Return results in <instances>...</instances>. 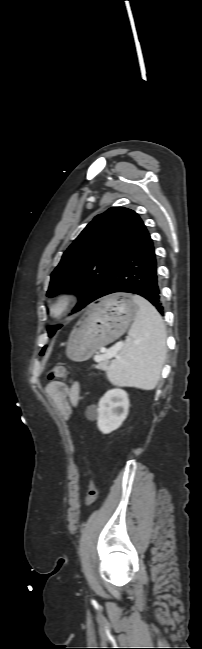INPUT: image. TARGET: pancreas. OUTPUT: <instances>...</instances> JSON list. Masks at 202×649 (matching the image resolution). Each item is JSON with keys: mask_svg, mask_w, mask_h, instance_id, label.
Instances as JSON below:
<instances>
[{"mask_svg": "<svg viewBox=\"0 0 202 649\" xmlns=\"http://www.w3.org/2000/svg\"><path fill=\"white\" fill-rule=\"evenodd\" d=\"M97 368L100 369V370H103V371H107L108 368H109V360L104 359V360L100 361L99 364L97 365Z\"/></svg>", "mask_w": 202, "mask_h": 649, "instance_id": "obj_1", "label": "pancreas"}]
</instances>
